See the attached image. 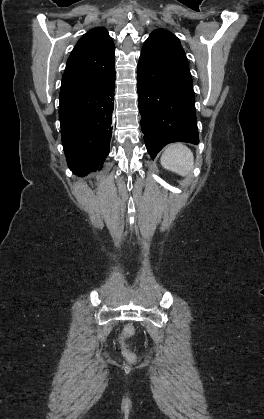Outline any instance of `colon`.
<instances>
[{
	"instance_id": "colon-1",
	"label": "colon",
	"mask_w": 264,
	"mask_h": 419,
	"mask_svg": "<svg viewBox=\"0 0 264 419\" xmlns=\"http://www.w3.org/2000/svg\"><path fill=\"white\" fill-rule=\"evenodd\" d=\"M135 332V329L132 325H127L122 334L121 338V346L123 350V356L129 363H133L136 360V355L130 350L128 344L126 343V339L131 337Z\"/></svg>"
}]
</instances>
